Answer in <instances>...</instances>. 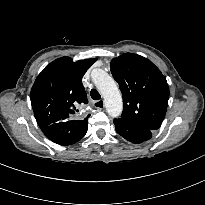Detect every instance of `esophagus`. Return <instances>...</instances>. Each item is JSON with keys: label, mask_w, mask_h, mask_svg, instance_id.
<instances>
[{"label": "esophagus", "mask_w": 205, "mask_h": 205, "mask_svg": "<svg viewBox=\"0 0 205 205\" xmlns=\"http://www.w3.org/2000/svg\"><path fill=\"white\" fill-rule=\"evenodd\" d=\"M93 104H94L95 108H97L99 110L104 108V100L95 101Z\"/></svg>", "instance_id": "obj_1"}]
</instances>
